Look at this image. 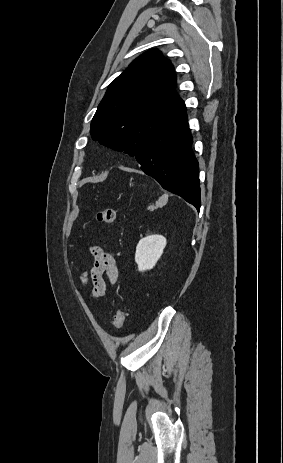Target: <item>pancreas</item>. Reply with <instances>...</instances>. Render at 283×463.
I'll use <instances>...</instances> for the list:
<instances>
[{
	"mask_svg": "<svg viewBox=\"0 0 283 463\" xmlns=\"http://www.w3.org/2000/svg\"><path fill=\"white\" fill-rule=\"evenodd\" d=\"M156 207L150 206L149 210H154Z\"/></svg>",
	"mask_w": 283,
	"mask_h": 463,
	"instance_id": "1",
	"label": "pancreas"
}]
</instances>
